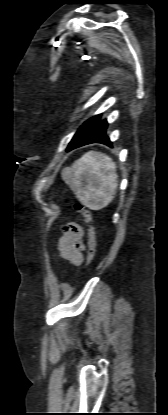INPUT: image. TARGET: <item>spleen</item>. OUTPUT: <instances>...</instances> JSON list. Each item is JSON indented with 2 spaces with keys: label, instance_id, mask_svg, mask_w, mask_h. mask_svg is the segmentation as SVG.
Here are the masks:
<instances>
[{
  "label": "spleen",
  "instance_id": "obj_1",
  "mask_svg": "<svg viewBox=\"0 0 168 415\" xmlns=\"http://www.w3.org/2000/svg\"><path fill=\"white\" fill-rule=\"evenodd\" d=\"M62 179L78 200L91 209L107 206L116 194V165L106 154L89 151L62 171Z\"/></svg>",
  "mask_w": 168,
  "mask_h": 415
}]
</instances>
